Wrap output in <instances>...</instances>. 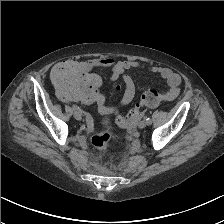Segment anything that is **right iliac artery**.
Masks as SVG:
<instances>
[{
  "label": "right iliac artery",
  "mask_w": 224,
  "mask_h": 224,
  "mask_svg": "<svg viewBox=\"0 0 224 224\" xmlns=\"http://www.w3.org/2000/svg\"><path fill=\"white\" fill-rule=\"evenodd\" d=\"M73 110L74 111H76V112H79V113H81L82 114V110L78 107V106H76V105H73Z\"/></svg>",
  "instance_id": "82829eb1"
}]
</instances>
